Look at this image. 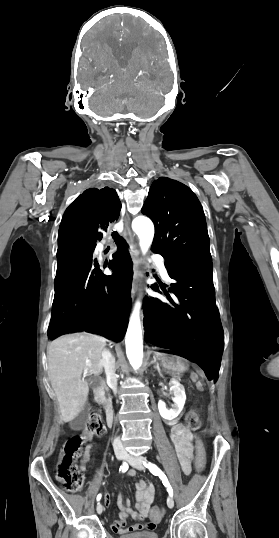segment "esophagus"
<instances>
[{
	"label": "esophagus",
	"mask_w": 279,
	"mask_h": 538,
	"mask_svg": "<svg viewBox=\"0 0 279 538\" xmlns=\"http://www.w3.org/2000/svg\"><path fill=\"white\" fill-rule=\"evenodd\" d=\"M122 236L123 238H125L126 242L129 245L131 259L134 265V280H133V287H132V293L134 294L136 284H137V274H138V267H139L140 259H139V252L137 249V245L134 242V236L131 232L127 219H124V230H123Z\"/></svg>",
	"instance_id": "34e87169"
}]
</instances>
